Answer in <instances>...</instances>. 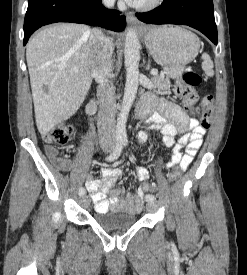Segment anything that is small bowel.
Wrapping results in <instances>:
<instances>
[{
    "label": "small bowel",
    "instance_id": "1",
    "mask_svg": "<svg viewBox=\"0 0 247 275\" xmlns=\"http://www.w3.org/2000/svg\"><path fill=\"white\" fill-rule=\"evenodd\" d=\"M142 103L147 107V114L153 108H157L149 117L150 128L159 130L163 144L172 148V156L164 164L165 169L179 165L182 170H186L202 145L206 129L197 119L187 116L178 105L169 100H158L148 95L143 98ZM178 135L180 137L176 141ZM142 138L145 139L146 134H143ZM45 153L58 170L76 171V164L70 159L61 157L54 146L46 145ZM120 175L121 171L111 164L102 167L101 178H95L91 173L87 174L85 187L95 204L96 212L114 211L130 214L140 212L145 193L140 188L136 193L114 188ZM136 177L139 181H145L148 178L147 169L138 167Z\"/></svg>",
    "mask_w": 247,
    "mask_h": 275
}]
</instances>
